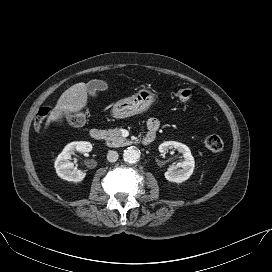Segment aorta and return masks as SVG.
Segmentation results:
<instances>
[{
    "label": "aorta",
    "mask_w": 272,
    "mask_h": 272,
    "mask_svg": "<svg viewBox=\"0 0 272 272\" xmlns=\"http://www.w3.org/2000/svg\"><path fill=\"white\" fill-rule=\"evenodd\" d=\"M123 158L126 162L135 163L140 159V152L134 147H128L124 150Z\"/></svg>",
    "instance_id": "aorta-1"
}]
</instances>
